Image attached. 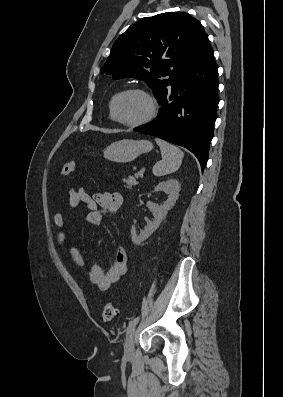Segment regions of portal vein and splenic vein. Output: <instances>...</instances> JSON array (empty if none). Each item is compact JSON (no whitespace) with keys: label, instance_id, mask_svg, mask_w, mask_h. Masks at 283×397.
I'll return each instance as SVG.
<instances>
[{"label":"portal vein and splenic vein","instance_id":"obj_1","mask_svg":"<svg viewBox=\"0 0 283 397\" xmlns=\"http://www.w3.org/2000/svg\"><path fill=\"white\" fill-rule=\"evenodd\" d=\"M135 177H136V178H139V177H140V173H138V172L135 173Z\"/></svg>","mask_w":283,"mask_h":397}]
</instances>
